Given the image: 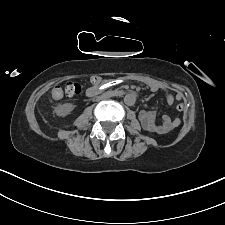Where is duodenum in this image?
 I'll return each mask as SVG.
<instances>
[{
	"instance_id": "1",
	"label": "duodenum",
	"mask_w": 225,
	"mask_h": 225,
	"mask_svg": "<svg viewBox=\"0 0 225 225\" xmlns=\"http://www.w3.org/2000/svg\"><path fill=\"white\" fill-rule=\"evenodd\" d=\"M120 94H121V92H119V91H108V92L102 93L101 97L117 96V95H120ZM126 96L128 98L132 99V98L137 97V94H135V93H128V94H126Z\"/></svg>"
}]
</instances>
